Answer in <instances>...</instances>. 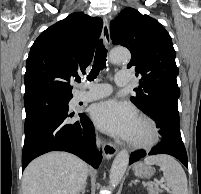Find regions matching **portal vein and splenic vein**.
Wrapping results in <instances>:
<instances>
[{
    "instance_id": "18ae733b",
    "label": "portal vein and splenic vein",
    "mask_w": 201,
    "mask_h": 194,
    "mask_svg": "<svg viewBox=\"0 0 201 194\" xmlns=\"http://www.w3.org/2000/svg\"><path fill=\"white\" fill-rule=\"evenodd\" d=\"M156 185H160L161 187L166 188V186L163 184V181H158Z\"/></svg>"
}]
</instances>
